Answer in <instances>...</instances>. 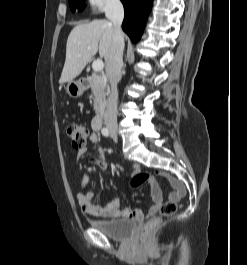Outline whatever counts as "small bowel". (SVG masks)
<instances>
[{
	"mask_svg": "<svg viewBox=\"0 0 247 265\" xmlns=\"http://www.w3.org/2000/svg\"><path fill=\"white\" fill-rule=\"evenodd\" d=\"M89 140L92 143H98L99 137L97 133L93 132L89 136ZM84 149H80L78 151V156H81L84 153ZM100 167L103 170H108L110 166L105 162H99ZM134 173H138L140 171V167L138 165L133 166ZM88 176L83 175L81 177V186L80 189L76 192V200L83 211V213L99 218H131L136 221H142L146 217L154 216L159 207L162 204V192L157 183H154L151 186V194L153 202L149 207L148 211L144 214L140 210H134L130 207L121 208L120 200L118 198H114L108 204L104 206H99L93 204V193L91 191H85V186L88 183ZM172 186L174 191L169 194L170 200H179L185 194V187L182 183L173 180Z\"/></svg>",
	"mask_w": 247,
	"mask_h": 265,
	"instance_id": "small-bowel-1",
	"label": "small bowel"
}]
</instances>
